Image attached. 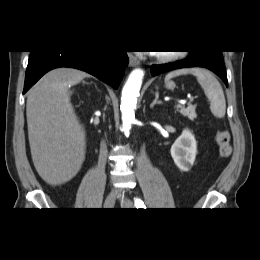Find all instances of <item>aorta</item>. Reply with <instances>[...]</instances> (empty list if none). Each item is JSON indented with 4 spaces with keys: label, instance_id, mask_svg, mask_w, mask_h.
<instances>
[{
    "label": "aorta",
    "instance_id": "aorta-1",
    "mask_svg": "<svg viewBox=\"0 0 260 260\" xmlns=\"http://www.w3.org/2000/svg\"><path fill=\"white\" fill-rule=\"evenodd\" d=\"M143 76L144 71L142 69L133 70L122 90L120 110L122 113L123 131L126 136L129 135L131 126L135 121L137 97L142 85Z\"/></svg>",
    "mask_w": 260,
    "mask_h": 260
}]
</instances>
